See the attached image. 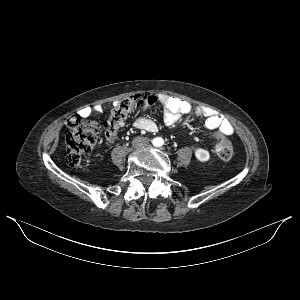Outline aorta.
Returning <instances> with one entry per match:
<instances>
[{
    "mask_svg": "<svg viewBox=\"0 0 300 300\" xmlns=\"http://www.w3.org/2000/svg\"><path fill=\"white\" fill-rule=\"evenodd\" d=\"M152 143H153V145L156 146V147H161V146H163V144H164V140H163V138H161V137H156V138H154V139L152 140Z\"/></svg>",
    "mask_w": 300,
    "mask_h": 300,
    "instance_id": "obj_1",
    "label": "aorta"
}]
</instances>
